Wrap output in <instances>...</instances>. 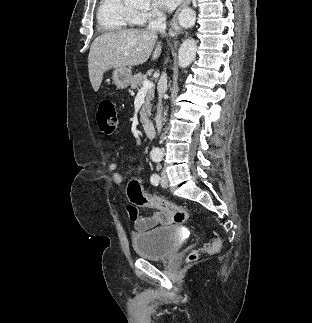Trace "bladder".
Segmentation results:
<instances>
[{
	"label": "bladder",
	"instance_id": "31cf9c89",
	"mask_svg": "<svg viewBox=\"0 0 312 323\" xmlns=\"http://www.w3.org/2000/svg\"><path fill=\"white\" fill-rule=\"evenodd\" d=\"M179 239L174 227H160L134 235L133 247L138 256L149 260L166 259L177 252Z\"/></svg>",
	"mask_w": 312,
	"mask_h": 323
}]
</instances>
